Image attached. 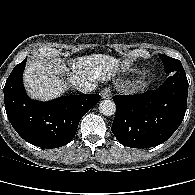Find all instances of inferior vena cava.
Here are the masks:
<instances>
[{
    "label": "inferior vena cava",
    "mask_w": 195,
    "mask_h": 195,
    "mask_svg": "<svg viewBox=\"0 0 195 195\" xmlns=\"http://www.w3.org/2000/svg\"><path fill=\"white\" fill-rule=\"evenodd\" d=\"M76 89L82 93H89L96 89V84L91 82H83L76 86Z\"/></svg>",
    "instance_id": "obj_1"
}]
</instances>
